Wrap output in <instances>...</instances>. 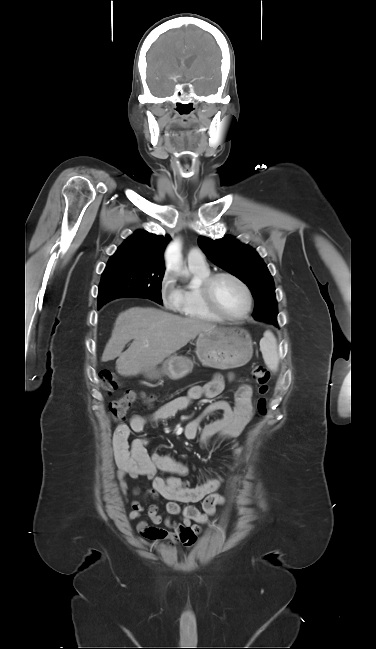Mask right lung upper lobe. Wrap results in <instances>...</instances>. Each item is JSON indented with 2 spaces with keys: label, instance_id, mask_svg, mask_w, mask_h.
Returning <instances> with one entry per match:
<instances>
[{
  "label": "right lung upper lobe",
  "instance_id": "1",
  "mask_svg": "<svg viewBox=\"0 0 376 649\" xmlns=\"http://www.w3.org/2000/svg\"><path fill=\"white\" fill-rule=\"evenodd\" d=\"M170 236L165 237L138 230L122 245L112 257H131L148 262L152 271L164 270L163 253L170 241Z\"/></svg>",
  "mask_w": 376,
  "mask_h": 649
}]
</instances>
